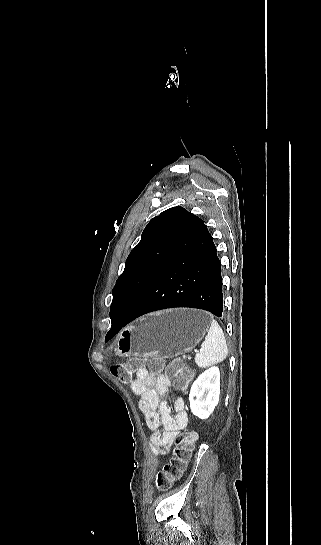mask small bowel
Returning a JSON list of instances; mask_svg holds the SVG:
<instances>
[{
  "label": "small bowel",
  "mask_w": 321,
  "mask_h": 545,
  "mask_svg": "<svg viewBox=\"0 0 321 545\" xmlns=\"http://www.w3.org/2000/svg\"><path fill=\"white\" fill-rule=\"evenodd\" d=\"M170 385L169 376L151 373L145 367L138 369L136 379L131 383L133 393L139 397V409L152 432L149 442L156 456L167 454L176 434L188 424L184 399L174 401L173 412L164 400Z\"/></svg>",
  "instance_id": "1"
}]
</instances>
